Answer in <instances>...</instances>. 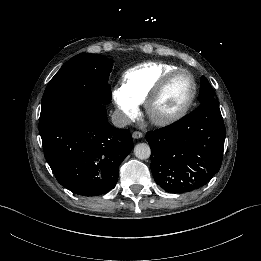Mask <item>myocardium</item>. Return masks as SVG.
Masks as SVG:
<instances>
[{
  "instance_id": "myocardium-1",
  "label": "myocardium",
  "mask_w": 261,
  "mask_h": 261,
  "mask_svg": "<svg viewBox=\"0 0 261 261\" xmlns=\"http://www.w3.org/2000/svg\"><path fill=\"white\" fill-rule=\"evenodd\" d=\"M177 74H185L188 76L192 84L191 95L189 99L186 101V103L175 113L168 114V115H158L155 113V108L159 103V101L162 99L166 90L168 89L171 81ZM196 95H197V84L194 79V76L185 69L175 68L172 71L168 72L162 78V80L159 82V84L156 86V88L147 98L145 102V110H146L147 117L152 124L157 126H166L171 123H174L180 120L181 118H183L187 114V112L189 111V109L191 108L192 104L195 101Z\"/></svg>"
}]
</instances>
